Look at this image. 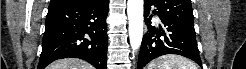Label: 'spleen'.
<instances>
[{"mask_svg": "<svg viewBox=\"0 0 246 69\" xmlns=\"http://www.w3.org/2000/svg\"><path fill=\"white\" fill-rule=\"evenodd\" d=\"M149 69H197V66L184 57L165 55L150 63Z\"/></svg>", "mask_w": 246, "mask_h": 69, "instance_id": "spleen-1", "label": "spleen"}]
</instances>
